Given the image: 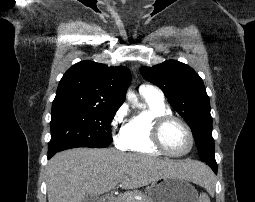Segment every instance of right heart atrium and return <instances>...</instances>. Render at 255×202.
Segmentation results:
<instances>
[{"instance_id":"1","label":"right heart atrium","mask_w":255,"mask_h":202,"mask_svg":"<svg viewBox=\"0 0 255 202\" xmlns=\"http://www.w3.org/2000/svg\"><path fill=\"white\" fill-rule=\"evenodd\" d=\"M127 108L125 105L120 106L114 113L110 127L113 134V140L117 147L124 148V128Z\"/></svg>"}]
</instances>
